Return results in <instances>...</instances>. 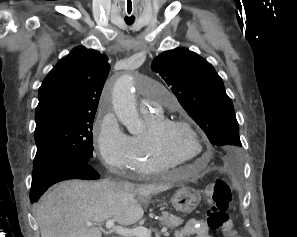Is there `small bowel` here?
Returning <instances> with one entry per match:
<instances>
[{
  "mask_svg": "<svg viewBox=\"0 0 297 237\" xmlns=\"http://www.w3.org/2000/svg\"><path fill=\"white\" fill-rule=\"evenodd\" d=\"M191 235L195 237H212L209 234L206 223L200 219L189 220L186 225L177 232L176 237H189Z\"/></svg>",
  "mask_w": 297,
  "mask_h": 237,
  "instance_id": "small-bowel-1",
  "label": "small bowel"
}]
</instances>
